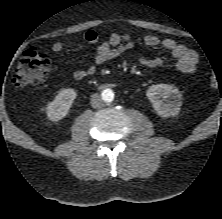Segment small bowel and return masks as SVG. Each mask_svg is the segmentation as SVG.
<instances>
[{
    "label": "small bowel",
    "mask_w": 222,
    "mask_h": 219,
    "mask_svg": "<svg viewBox=\"0 0 222 219\" xmlns=\"http://www.w3.org/2000/svg\"><path fill=\"white\" fill-rule=\"evenodd\" d=\"M84 40L89 44L96 45L95 63L97 65L131 53L134 48L133 39L128 34L113 33L107 40L100 41L97 32L90 30L85 33ZM144 43L148 47L161 46L168 51L174 58V66L177 70L186 74H193L196 72L198 56L195 51L173 39L167 38L160 40L159 37L154 34L146 35L144 37ZM69 44L70 43L64 41H57L52 45V51L55 53L61 52ZM136 61L144 68H156L162 64V59L160 57L136 55ZM95 71L96 66L91 65L86 69L74 71L73 78L82 80L92 76Z\"/></svg>",
    "instance_id": "small-bowel-1"
}]
</instances>
